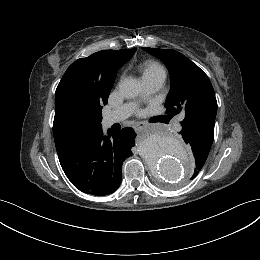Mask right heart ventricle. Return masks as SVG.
I'll use <instances>...</instances> for the list:
<instances>
[{"mask_svg":"<svg viewBox=\"0 0 260 260\" xmlns=\"http://www.w3.org/2000/svg\"><path fill=\"white\" fill-rule=\"evenodd\" d=\"M158 74H164V71L157 62L147 61L142 66V75L144 80Z\"/></svg>","mask_w":260,"mask_h":260,"instance_id":"1","label":"right heart ventricle"}]
</instances>
